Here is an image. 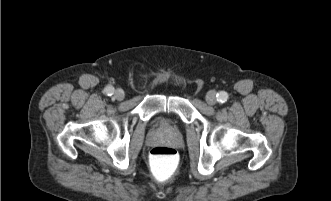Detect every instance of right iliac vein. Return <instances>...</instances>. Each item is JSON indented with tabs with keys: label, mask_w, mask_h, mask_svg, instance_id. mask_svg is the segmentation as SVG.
I'll return each mask as SVG.
<instances>
[{
	"label": "right iliac vein",
	"mask_w": 331,
	"mask_h": 201,
	"mask_svg": "<svg viewBox=\"0 0 331 201\" xmlns=\"http://www.w3.org/2000/svg\"><path fill=\"white\" fill-rule=\"evenodd\" d=\"M114 97H115L117 100L121 101V100L124 99V97H125V93H124V91H123L122 89H117V90L115 91V93H114Z\"/></svg>",
	"instance_id": "1"
}]
</instances>
